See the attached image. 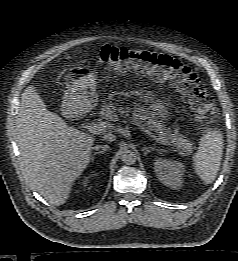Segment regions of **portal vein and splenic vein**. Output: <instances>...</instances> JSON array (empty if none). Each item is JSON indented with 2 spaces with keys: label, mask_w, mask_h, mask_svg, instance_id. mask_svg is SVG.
<instances>
[{
  "label": "portal vein and splenic vein",
  "mask_w": 238,
  "mask_h": 261,
  "mask_svg": "<svg viewBox=\"0 0 238 261\" xmlns=\"http://www.w3.org/2000/svg\"><path fill=\"white\" fill-rule=\"evenodd\" d=\"M135 125L138 126L151 139H153L159 143H162L164 145H170V143L167 140L161 139V138L155 136L151 131H149L143 125L138 124V123H135ZM111 127L112 126L110 124H108L107 122H93L87 126V129L93 134H101V133L106 132V130Z\"/></svg>",
  "instance_id": "18ae733b"
}]
</instances>
